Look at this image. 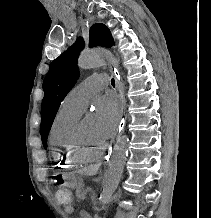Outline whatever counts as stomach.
<instances>
[{"label": "stomach", "instance_id": "0dacf381", "mask_svg": "<svg viewBox=\"0 0 211 218\" xmlns=\"http://www.w3.org/2000/svg\"><path fill=\"white\" fill-rule=\"evenodd\" d=\"M63 178L64 185L72 189L78 188L82 184L81 179L76 174H66Z\"/></svg>", "mask_w": 211, "mask_h": 218}]
</instances>
